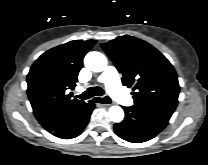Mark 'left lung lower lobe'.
Returning <instances> with one entry per match:
<instances>
[{
    "label": "left lung lower lobe",
    "mask_w": 208,
    "mask_h": 165,
    "mask_svg": "<svg viewBox=\"0 0 208 165\" xmlns=\"http://www.w3.org/2000/svg\"><path fill=\"white\" fill-rule=\"evenodd\" d=\"M125 118L114 125L115 133L132 143H142L155 137L169 122L173 112L155 109H141L135 106L123 107Z\"/></svg>",
    "instance_id": "0a47b994"
}]
</instances>
